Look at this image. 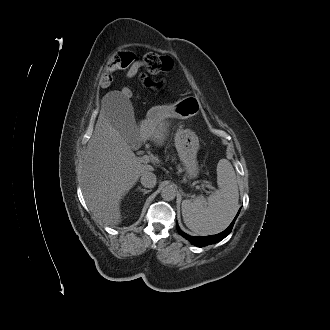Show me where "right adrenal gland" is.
<instances>
[{
	"label": "right adrenal gland",
	"mask_w": 330,
	"mask_h": 330,
	"mask_svg": "<svg viewBox=\"0 0 330 330\" xmlns=\"http://www.w3.org/2000/svg\"><path fill=\"white\" fill-rule=\"evenodd\" d=\"M138 190L142 191L143 194H147L148 192H150V190L143 189L140 186L138 187Z\"/></svg>",
	"instance_id": "1"
}]
</instances>
